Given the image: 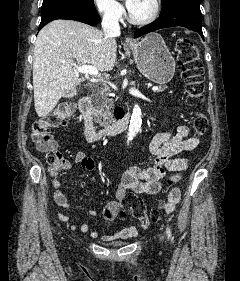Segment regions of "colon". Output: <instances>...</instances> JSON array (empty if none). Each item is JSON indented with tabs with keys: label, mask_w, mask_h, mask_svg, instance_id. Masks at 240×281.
Listing matches in <instances>:
<instances>
[{
	"label": "colon",
	"mask_w": 240,
	"mask_h": 281,
	"mask_svg": "<svg viewBox=\"0 0 240 281\" xmlns=\"http://www.w3.org/2000/svg\"><path fill=\"white\" fill-rule=\"evenodd\" d=\"M176 52L178 63L182 69L186 101L190 106L200 105L204 99V69L198 55L194 42L186 37H180L176 41ZM75 106L70 102H61L56 108L45 117L37 119L32 125V140L37 149L45 153L47 162L53 172L59 169L62 156L57 150V143L53 137V130L63 126L72 116ZM194 131L198 136L204 135L208 128V119L197 112L193 120ZM172 184V182H169ZM164 202L147 213L145 204L141 198L134 194L126 195L121 203L120 215L130 214L139 223L146 227L150 222L158 220L160 210L165 206Z\"/></svg>",
	"instance_id": "1"
}]
</instances>
